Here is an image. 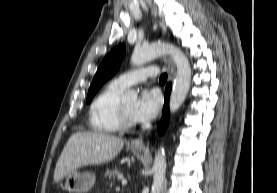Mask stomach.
Returning a JSON list of instances; mask_svg holds the SVG:
<instances>
[{
  "instance_id": "stomach-1",
  "label": "stomach",
  "mask_w": 277,
  "mask_h": 193,
  "mask_svg": "<svg viewBox=\"0 0 277 193\" xmlns=\"http://www.w3.org/2000/svg\"><path fill=\"white\" fill-rule=\"evenodd\" d=\"M134 150L141 152L142 148H133ZM95 183V175L90 172L80 173L75 171L66 176L65 189L69 193H86L89 191Z\"/></svg>"
}]
</instances>
